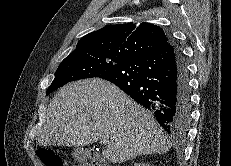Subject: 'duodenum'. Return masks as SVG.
Here are the masks:
<instances>
[{
  "mask_svg": "<svg viewBox=\"0 0 231 166\" xmlns=\"http://www.w3.org/2000/svg\"><path fill=\"white\" fill-rule=\"evenodd\" d=\"M82 158H88L90 155L88 153L81 154L80 155ZM92 159L96 162L95 166H107L101 159L92 157Z\"/></svg>",
  "mask_w": 231,
  "mask_h": 166,
  "instance_id": "410a0bca",
  "label": "duodenum"
}]
</instances>
